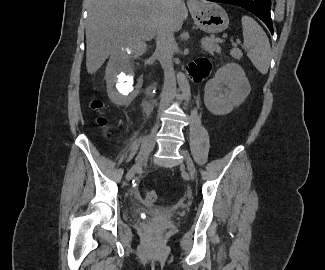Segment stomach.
<instances>
[{"instance_id":"stomach-1","label":"stomach","mask_w":325,"mask_h":270,"mask_svg":"<svg viewBox=\"0 0 325 270\" xmlns=\"http://www.w3.org/2000/svg\"><path fill=\"white\" fill-rule=\"evenodd\" d=\"M191 15L197 27L207 33L221 32L229 24L227 13L216 4L199 3L191 9Z\"/></svg>"}]
</instances>
